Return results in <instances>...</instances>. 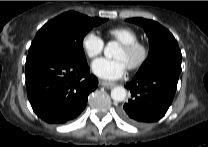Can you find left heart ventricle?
Listing matches in <instances>:
<instances>
[{"label":"left heart ventricle","instance_id":"b2bd125f","mask_svg":"<svg viewBox=\"0 0 208 147\" xmlns=\"http://www.w3.org/2000/svg\"><path fill=\"white\" fill-rule=\"evenodd\" d=\"M115 57L123 59L126 62V64L130 66L137 59V53L128 52L120 46L117 52L115 53Z\"/></svg>","mask_w":208,"mask_h":147}]
</instances>
